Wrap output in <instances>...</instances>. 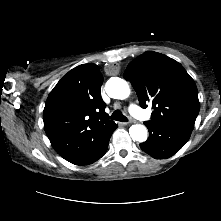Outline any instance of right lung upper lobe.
Instances as JSON below:
<instances>
[{
  "instance_id": "right-lung-upper-lobe-1",
  "label": "right lung upper lobe",
  "mask_w": 221,
  "mask_h": 221,
  "mask_svg": "<svg viewBox=\"0 0 221 221\" xmlns=\"http://www.w3.org/2000/svg\"><path fill=\"white\" fill-rule=\"evenodd\" d=\"M102 83L97 65L82 64L69 71L47 98L44 129L55 151L67 161L84 153L115 125L105 113Z\"/></svg>"
}]
</instances>
